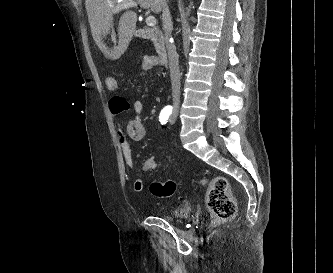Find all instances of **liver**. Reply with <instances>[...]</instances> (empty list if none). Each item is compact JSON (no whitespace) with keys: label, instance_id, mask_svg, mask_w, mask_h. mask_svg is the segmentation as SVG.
Instances as JSON below:
<instances>
[{"label":"liver","instance_id":"liver-1","mask_svg":"<svg viewBox=\"0 0 333 273\" xmlns=\"http://www.w3.org/2000/svg\"><path fill=\"white\" fill-rule=\"evenodd\" d=\"M164 0H138L139 5L150 8L158 14L162 10ZM122 3V0H85L88 20L91 33L95 43L107 59L116 60L126 51L132 36L135 32L137 15L133 11H126L119 20L118 26V45L108 48L103 38L110 33L113 28V15L115 7Z\"/></svg>","mask_w":333,"mask_h":273}]
</instances>
